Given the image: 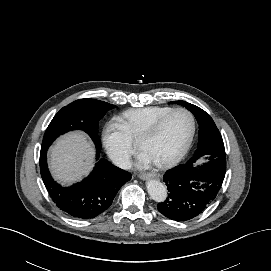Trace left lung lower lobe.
Returning a JSON list of instances; mask_svg holds the SVG:
<instances>
[{"label": "left lung lower lobe", "instance_id": "left-lung-lower-lobe-1", "mask_svg": "<svg viewBox=\"0 0 271 271\" xmlns=\"http://www.w3.org/2000/svg\"><path fill=\"white\" fill-rule=\"evenodd\" d=\"M224 177L225 173L213 169L180 164L166 171L163 180L170 194L157 208L171 220L193 219L215 200Z\"/></svg>", "mask_w": 271, "mask_h": 271}]
</instances>
